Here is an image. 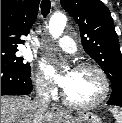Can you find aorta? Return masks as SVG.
I'll return each mask as SVG.
<instances>
[{"instance_id": "aorta-1", "label": "aorta", "mask_w": 122, "mask_h": 123, "mask_svg": "<svg viewBox=\"0 0 122 123\" xmlns=\"http://www.w3.org/2000/svg\"><path fill=\"white\" fill-rule=\"evenodd\" d=\"M67 18L62 13L54 14L49 22V31L54 38H59L66 26Z\"/></svg>"}]
</instances>
